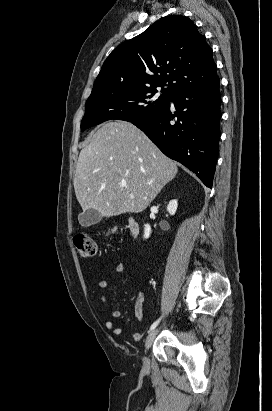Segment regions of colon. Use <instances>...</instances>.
Masks as SVG:
<instances>
[{
    "label": "colon",
    "mask_w": 272,
    "mask_h": 411,
    "mask_svg": "<svg viewBox=\"0 0 272 411\" xmlns=\"http://www.w3.org/2000/svg\"><path fill=\"white\" fill-rule=\"evenodd\" d=\"M73 241L80 256L93 257L96 255L97 244L90 235H76Z\"/></svg>",
    "instance_id": "obj_1"
}]
</instances>
